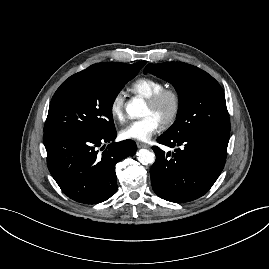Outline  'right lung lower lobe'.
<instances>
[{
    "instance_id": "right-lung-lower-lobe-1",
    "label": "right lung lower lobe",
    "mask_w": 269,
    "mask_h": 269,
    "mask_svg": "<svg viewBox=\"0 0 269 269\" xmlns=\"http://www.w3.org/2000/svg\"><path fill=\"white\" fill-rule=\"evenodd\" d=\"M116 135V130L104 135L79 130L44 133L48 169L65 195L82 204H97L116 192L115 165L136 152L132 140L113 142L104 150L102 145Z\"/></svg>"
}]
</instances>
